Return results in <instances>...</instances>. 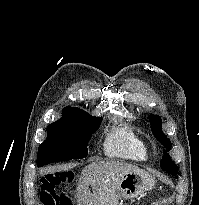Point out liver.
Returning <instances> with one entry per match:
<instances>
[{
    "mask_svg": "<svg viewBox=\"0 0 199 205\" xmlns=\"http://www.w3.org/2000/svg\"><path fill=\"white\" fill-rule=\"evenodd\" d=\"M132 172L143 170L117 161H97L85 166L76 187L78 205H117L120 184L124 176Z\"/></svg>",
    "mask_w": 199,
    "mask_h": 205,
    "instance_id": "liver-1",
    "label": "liver"
}]
</instances>
